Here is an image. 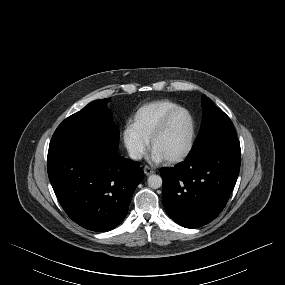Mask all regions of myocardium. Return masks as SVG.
I'll return each mask as SVG.
<instances>
[{
    "label": "myocardium",
    "instance_id": "f54148a6",
    "mask_svg": "<svg viewBox=\"0 0 285 285\" xmlns=\"http://www.w3.org/2000/svg\"><path fill=\"white\" fill-rule=\"evenodd\" d=\"M179 112L186 113L190 119V123H191L190 136H189L188 144L182 153H180L179 155L175 157L165 159L166 162L169 164H176V163L182 162L191 154L195 146L196 136H197V125H196V120H195L194 115L187 108H184L181 106L176 107L172 109L171 111H169L161 119V121L159 122V124L157 125L156 129L154 130V132L152 133L150 137V145H151V148L154 150V145H155L156 140L164 133L165 129L167 128L170 120L174 117V115H176Z\"/></svg>",
    "mask_w": 285,
    "mask_h": 285
}]
</instances>
